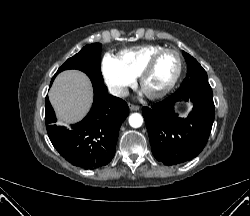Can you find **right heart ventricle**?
<instances>
[{
  "label": "right heart ventricle",
  "instance_id": "obj_1",
  "mask_svg": "<svg viewBox=\"0 0 250 216\" xmlns=\"http://www.w3.org/2000/svg\"><path fill=\"white\" fill-rule=\"evenodd\" d=\"M163 49L160 45L148 44L122 50L117 55L121 66L133 77H138L140 71L157 51Z\"/></svg>",
  "mask_w": 250,
  "mask_h": 216
}]
</instances>
